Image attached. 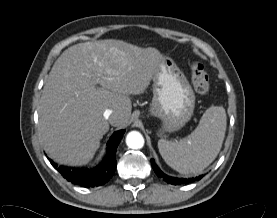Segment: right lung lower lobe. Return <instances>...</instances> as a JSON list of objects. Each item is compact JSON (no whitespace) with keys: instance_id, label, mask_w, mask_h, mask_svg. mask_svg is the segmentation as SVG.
I'll list each match as a JSON object with an SVG mask.
<instances>
[{"instance_id":"obj_1","label":"right lung lower lobe","mask_w":277,"mask_h":218,"mask_svg":"<svg viewBox=\"0 0 277 218\" xmlns=\"http://www.w3.org/2000/svg\"><path fill=\"white\" fill-rule=\"evenodd\" d=\"M125 130L117 131L108 141L107 155L102 162L94 169L79 170L65 167H58L52 160L51 164L61 173L68 181L84 186L95 187L105 184L114 174L116 169V149Z\"/></svg>"}]
</instances>
